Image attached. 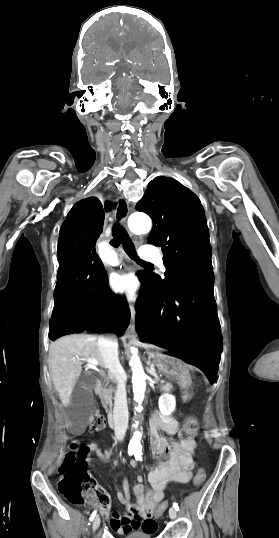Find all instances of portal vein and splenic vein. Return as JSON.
Returning <instances> with one entry per match:
<instances>
[{"instance_id":"obj_1","label":"portal vein and splenic vein","mask_w":279,"mask_h":538,"mask_svg":"<svg viewBox=\"0 0 279 538\" xmlns=\"http://www.w3.org/2000/svg\"><path fill=\"white\" fill-rule=\"evenodd\" d=\"M80 360H86L88 362L87 366H99V362L94 358H80ZM161 383H167V380H161Z\"/></svg>"}]
</instances>
